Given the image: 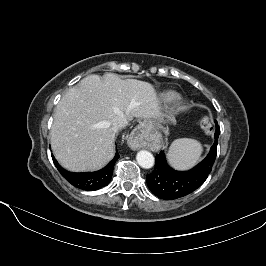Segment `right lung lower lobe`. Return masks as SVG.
Returning a JSON list of instances; mask_svg holds the SVG:
<instances>
[{"mask_svg": "<svg viewBox=\"0 0 266 266\" xmlns=\"http://www.w3.org/2000/svg\"><path fill=\"white\" fill-rule=\"evenodd\" d=\"M118 152L115 157L103 169L96 172L73 173L63 169L53 157V162L61 175L73 186L87 191H93L107 186L113 174L115 162L119 158Z\"/></svg>", "mask_w": 266, "mask_h": 266, "instance_id": "1", "label": "right lung lower lobe"}]
</instances>
